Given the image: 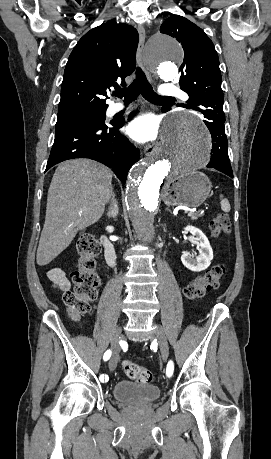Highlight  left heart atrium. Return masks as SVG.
<instances>
[{
    "label": "left heart atrium",
    "mask_w": 271,
    "mask_h": 459,
    "mask_svg": "<svg viewBox=\"0 0 271 459\" xmlns=\"http://www.w3.org/2000/svg\"><path fill=\"white\" fill-rule=\"evenodd\" d=\"M160 130V120L154 115H143L133 120L129 125V135L139 143L153 142Z\"/></svg>",
    "instance_id": "left-heart-atrium-1"
}]
</instances>
